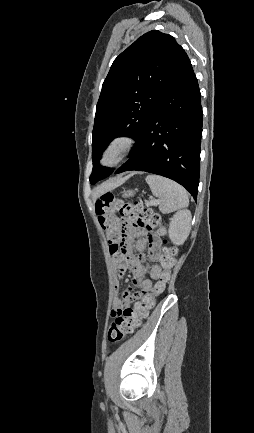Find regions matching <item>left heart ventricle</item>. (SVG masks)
I'll return each mask as SVG.
<instances>
[{
    "mask_svg": "<svg viewBox=\"0 0 254 433\" xmlns=\"http://www.w3.org/2000/svg\"><path fill=\"white\" fill-rule=\"evenodd\" d=\"M116 156H117V152L115 150L110 151L105 157V162L106 163L113 162L115 160Z\"/></svg>",
    "mask_w": 254,
    "mask_h": 433,
    "instance_id": "left-heart-ventricle-1",
    "label": "left heart ventricle"
}]
</instances>
